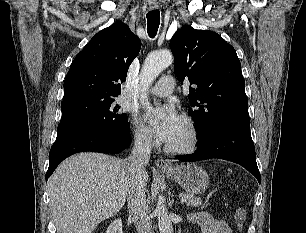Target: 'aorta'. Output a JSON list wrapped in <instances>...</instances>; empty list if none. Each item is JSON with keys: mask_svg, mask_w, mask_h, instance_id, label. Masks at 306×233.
Masks as SVG:
<instances>
[{"mask_svg": "<svg viewBox=\"0 0 306 233\" xmlns=\"http://www.w3.org/2000/svg\"><path fill=\"white\" fill-rule=\"evenodd\" d=\"M173 62V55L170 51L164 50L149 55L140 73V86L143 92H146L158 75ZM142 105L149 107L150 103L146 94L140 97ZM155 212L157 214L158 227L160 233H173L171 219L168 215V210L164 199L159 198Z\"/></svg>", "mask_w": 306, "mask_h": 233, "instance_id": "aorta-1", "label": "aorta"}]
</instances>
